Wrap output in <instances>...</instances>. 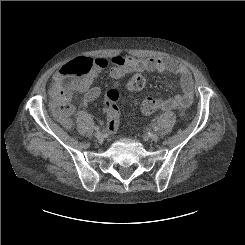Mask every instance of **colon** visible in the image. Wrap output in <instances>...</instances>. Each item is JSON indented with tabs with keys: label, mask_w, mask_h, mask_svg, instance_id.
<instances>
[{
	"label": "colon",
	"mask_w": 245,
	"mask_h": 245,
	"mask_svg": "<svg viewBox=\"0 0 245 245\" xmlns=\"http://www.w3.org/2000/svg\"><path fill=\"white\" fill-rule=\"evenodd\" d=\"M100 71L95 59L82 55L75 56L62 66L61 75L54 81L51 87L53 111L64 127L72 125V106L71 94L73 91H79L92 81L94 73ZM145 87V78L141 74H133L127 83V89L130 92H140ZM119 92L117 89H111L105 97V111L108 116L107 129L115 131L118 126V119L113 113L117 109ZM157 110V98L153 95H146L142 102V111L144 114H152ZM181 117H185V112H180Z\"/></svg>",
	"instance_id": "obj_1"
}]
</instances>
